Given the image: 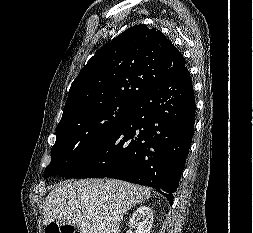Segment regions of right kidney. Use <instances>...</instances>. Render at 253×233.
<instances>
[{"mask_svg": "<svg viewBox=\"0 0 253 233\" xmlns=\"http://www.w3.org/2000/svg\"><path fill=\"white\" fill-rule=\"evenodd\" d=\"M141 220V222H138ZM153 223V213L150 207L140 206L129 220V227L136 228V233H150Z\"/></svg>", "mask_w": 253, "mask_h": 233, "instance_id": "obj_1", "label": "right kidney"}]
</instances>
